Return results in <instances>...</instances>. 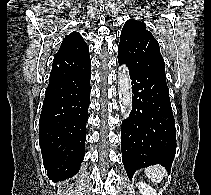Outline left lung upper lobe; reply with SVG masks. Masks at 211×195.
Instances as JSON below:
<instances>
[{"instance_id":"obj_1","label":"left lung upper lobe","mask_w":211,"mask_h":195,"mask_svg":"<svg viewBox=\"0 0 211 195\" xmlns=\"http://www.w3.org/2000/svg\"><path fill=\"white\" fill-rule=\"evenodd\" d=\"M118 55L128 66L146 71L167 86L159 44L144 23L134 19L126 21L121 31Z\"/></svg>"}]
</instances>
